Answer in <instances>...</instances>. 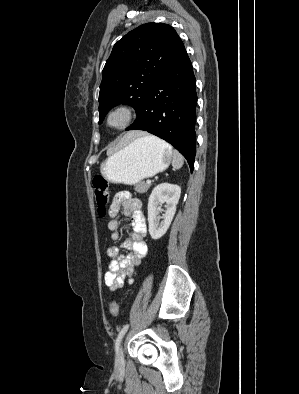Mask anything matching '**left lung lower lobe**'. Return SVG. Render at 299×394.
<instances>
[{
  "mask_svg": "<svg viewBox=\"0 0 299 394\" xmlns=\"http://www.w3.org/2000/svg\"><path fill=\"white\" fill-rule=\"evenodd\" d=\"M196 79L184 49L157 77L126 130H144L172 144L194 168Z\"/></svg>",
  "mask_w": 299,
  "mask_h": 394,
  "instance_id": "left-lung-lower-lobe-1",
  "label": "left lung lower lobe"
}]
</instances>
